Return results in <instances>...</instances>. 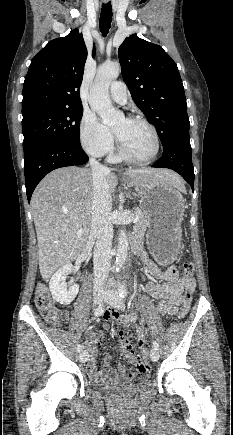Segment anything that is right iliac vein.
<instances>
[{
  "label": "right iliac vein",
  "mask_w": 233,
  "mask_h": 435,
  "mask_svg": "<svg viewBox=\"0 0 233 435\" xmlns=\"http://www.w3.org/2000/svg\"><path fill=\"white\" fill-rule=\"evenodd\" d=\"M103 300V293L98 291V292H94L93 294V301L95 304H100ZM79 359L82 363L87 362L88 360V352L87 351H82L79 355Z\"/></svg>",
  "instance_id": "63e3f726"
}]
</instances>
